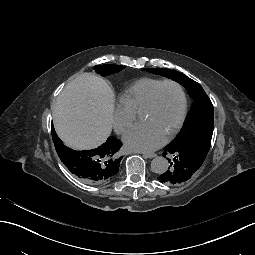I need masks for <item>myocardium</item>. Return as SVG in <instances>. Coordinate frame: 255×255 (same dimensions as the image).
<instances>
[{
	"mask_svg": "<svg viewBox=\"0 0 255 255\" xmlns=\"http://www.w3.org/2000/svg\"><path fill=\"white\" fill-rule=\"evenodd\" d=\"M167 84L174 85L179 90L180 95H181V110H180V114H179L178 120L176 122V125H175L174 129L171 131V133L165 138V142L171 141L177 135V133L181 129L183 122H184L186 109H187V98H186V94H185V91H184L182 85L172 79L162 80L159 84H157L152 89L148 100L146 101V103L144 104V106L142 108V111H146V110H149L150 108H152L159 89L162 86L167 85Z\"/></svg>",
	"mask_w": 255,
	"mask_h": 255,
	"instance_id": "1",
	"label": "myocardium"
}]
</instances>
